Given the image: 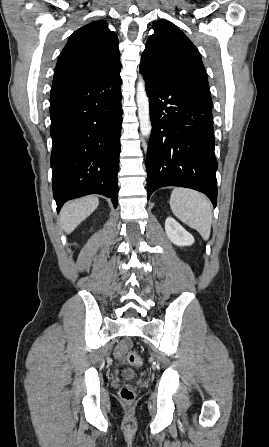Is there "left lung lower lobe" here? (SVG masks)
Segmentation results:
<instances>
[{
  "instance_id": "0a47b994",
  "label": "left lung lower lobe",
  "mask_w": 269,
  "mask_h": 447,
  "mask_svg": "<svg viewBox=\"0 0 269 447\" xmlns=\"http://www.w3.org/2000/svg\"><path fill=\"white\" fill-rule=\"evenodd\" d=\"M150 102L152 133L146 158L147 194L181 186L217 201L212 101L199 90L140 64Z\"/></svg>"
}]
</instances>
